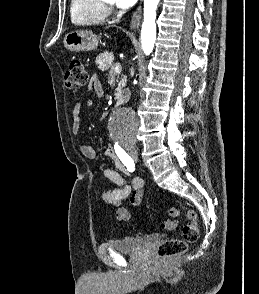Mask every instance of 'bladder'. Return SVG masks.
Returning a JSON list of instances; mask_svg holds the SVG:
<instances>
[{"mask_svg": "<svg viewBox=\"0 0 259 294\" xmlns=\"http://www.w3.org/2000/svg\"><path fill=\"white\" fill-rule=\"evenodd\" d=\"M159 238V234L156 233L143 236H125L110 240L108 244L118 252L137 253Z\"/></svg>", "mask_w": 259, "mask_h": 294, "instance_id": "bladder-1", "label": "bladder"}]
</instances>
